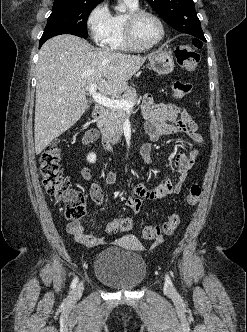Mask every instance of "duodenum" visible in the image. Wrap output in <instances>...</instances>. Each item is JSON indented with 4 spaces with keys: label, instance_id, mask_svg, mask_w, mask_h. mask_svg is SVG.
I'll list each match as a JSON object with an SVG mask.
<instances>
[{
    "label": "duodenum",
    "instance_id": "1",
    "mask_svg": "<svg viewBox=\"0 0 247 332\" xmlns=\"http://www.w3.org/2000/svg\"><path fill=\"white\" fill-rule=\"evenodd\" d=\"M105 116V109L101 105H97L93 111V120L98 129H101L102 121ZM106 147L109 148L108 143L106 142Z\"/></svg>",
    "mask_w": 247,
    "mask_h": 332
}]
</instances>
